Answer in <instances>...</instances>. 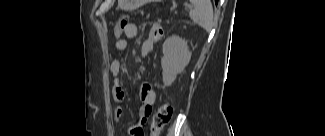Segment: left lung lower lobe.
I'll return each mask as SVG.
<instances>
[{
    "instance_id": "left-lung-lower-lobe-1",
    "label": "left lung lower lobe",
    "mask_w": 325,
    "mask_h": 136,
    "mask_svg": "<svg viewBox=\"0 0 325 136\" xmlns=\"http://www.w3.org/2000/svg\"><path fill=\"white\" fill-rule=\"evenodd\" d=\"M216 4L218 3V0H215Z\"/></svg>"
}]
</instances>
